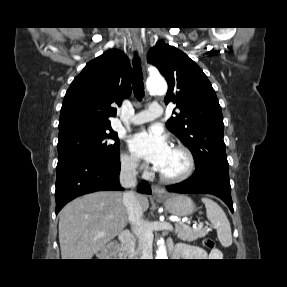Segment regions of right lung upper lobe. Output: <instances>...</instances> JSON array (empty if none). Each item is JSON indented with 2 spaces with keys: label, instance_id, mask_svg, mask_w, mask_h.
I'll list each match as a JSON object with an SVG mask.
<instances>
[{
  "label": "right lung upper lobe",
  "instance_id": "right-lung-upper-lobe-1",
  "mask_svg": "<svg viewBox=\"0 0 287 287\" xmlns=\"http://www.w3.org/2000/svg\"><path fill=\"white\" fill-rule=\"evenodd\" d=\"M130 79L129 59L120 50L109 49L87 63L65 94L59 128L74 123L110 126L114 105L131 94Z\"/></svg>",
  "mask_w": 287,
  "mask_h": 287
}]
</instances>
